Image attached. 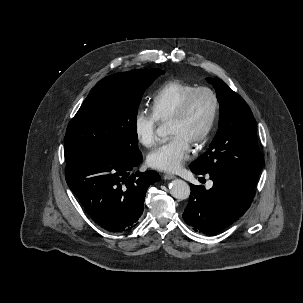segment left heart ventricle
<instances>
[{"mask_svg": "<svg viewBox=\"0 0 303 303\" xmlns=\"http://www.w3.org/2000/svg\"><path fill=\"white\" fill-rule=\"evenodd\" d=\"M212 109L213 101L211 96L206 92L197 94L186 116L180 121L169 122V134L171 136L181 135L191 144H194L206 128Z\"/></svg>", "mask_w": 303, "mask_h": 303, "instance_id": "b2bd125f", "label": "left heart ventricle"}]
</instances>
